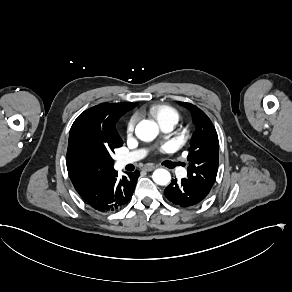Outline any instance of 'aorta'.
<instances>
[{
	"label": "aorta",
	"mask_w": 292,
	"mask_h": 292,
	"mask_svg": "<svg viewBox=\"0 0 292 292\" xmlns=\"http://www.w3.org/2000/svg\"><path fill=\"white\" fill-rule=\"evenodd\" d=\"M158 128L155 122L141 120L135 127V135L141 141H151L157 136ZM153 181L158 185H167L171 181L169 171L156 169L152 175Z\"/></svg>",
	"instance_id": "762f6f07"
}]
</instances>
